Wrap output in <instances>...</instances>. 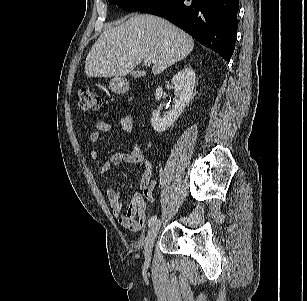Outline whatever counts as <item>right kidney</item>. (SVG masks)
I'll list each match as a JSON object with an SVG mask.
<instances>
[{
  "label": "right kidney",
  "mask_w": 307,
  "mask_h": 301,
  "mask_svg": "<svg viewBox=\"0 0 307 301\" xmlns=\"http://www.w3.org/2000/svg\"><path fill=\"white\" fill-rule=\"evenodd\" d=\"M174 86V93L178 96L175 106L166 115L160 117L158 110L153 111L151 124L156 132H164L179 118L185 107L189 104L196 83V75L193 69L185 67L174 75L171 80ZM163 94L162 87L156 89L155 98L160 100Z\"/></svg>",
  "instance_id": "ca27d5eb"
}]
</instances>
